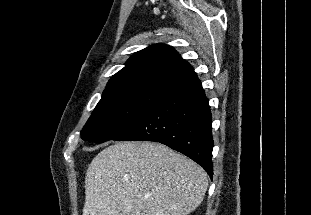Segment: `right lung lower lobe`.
Here are the masks:
<instances>
[{"label": "right lung lower lobe", "mask_w": 311, "mask_h": 215, "mask_svg": "<svg viewBox=\"0 0 311 215\" xmlns=\"http://www.w3.org/2000/svg\"><path fill=\"white\" fill-rule=\"evenodd\" d=\"M113 140L165 144L197 162L212 179V116L197 74L192 71L171 83L146 115Z\"/></svg>", "instance_id": "1"}]
</instances>
